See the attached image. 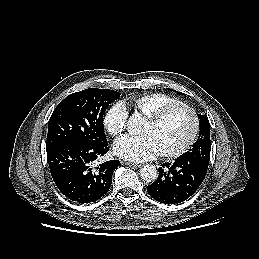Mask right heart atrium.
Segmentation results:
<instances>
[{"mask_svg":"<svg viewBox=\"0 0 259 259\" xmlns=\"http://www.w3.org/2000/svg\"><path fill=\"white\" fill-rule=\"evenodd\" d=\"M128 110L125 104L117 101L112 104L103 116V125L106 131L112 136H119L126 128Z\"/></svg>","mask_w":259,"mask_h":259,"instance_id":"d8ad5b80","label":"right heart atrium"}]
</instances>
